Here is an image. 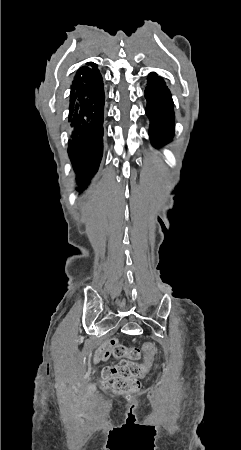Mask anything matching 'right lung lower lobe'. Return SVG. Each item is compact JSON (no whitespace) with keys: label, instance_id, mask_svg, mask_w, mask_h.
<instances>
[{"label":"right lung lower lobe","instance_id":"obj_1","mask_svg":"<svg viewBox=\"0 0 241 450\" xmlns=\"http://www.w3.org/2000/svg\"><path fill=\"white\" fill-rule=\"evenodd\" d=\"M72 127L68 154L83 190L97 172L103 154L104 84L97 65L82 66L72 81L69 99Z\"/></svg>","mask_w":241,"mask_h":450}]
</instances>
